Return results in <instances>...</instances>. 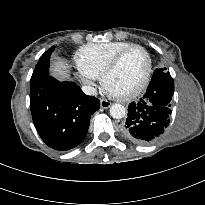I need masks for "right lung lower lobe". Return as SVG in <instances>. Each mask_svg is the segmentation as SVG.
Wrapping results in <instances>:
<instances>
[{
    "instance_id": "obj_1",
    "label": "right lung lower lobe",
    "mask_w": 205,
    "mask_h": 205,
    "mask_svg": "<svg viewBox=\"0 0 205 205\" xmlns=\"http://www.w3.org/2000/svg\"><path fill=\"white\" fill-rule=\"evenodd\" d=\"M51 47L39 59L30 80V105L35 128L42 140L55 150L65 151L85 138L91 115L100 101L85 95L73 82L49 76Z\"/></svg>"
}]
</instances>
